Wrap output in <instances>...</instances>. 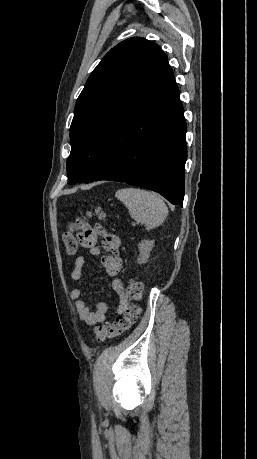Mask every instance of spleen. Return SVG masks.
Returning a JSON list of instances; mask_svg holds the SVG:
<instances>
[{"instance_id":"spleen-1","label":"spleen","mask_w":257,"mask_h":459,"mask_svg":"<svg viewBox=\"0 0 257 459\" xmlns=\"http://www.w3.org/2000/svg\"><path fill=\"white\" fill-rule=\"evenodd\" d=\"M116 197L127 207L132 219L146 226L147 230L161 225L168 215V208L156 193L139 188H123Z\"/></svg>"}]
</instances>
